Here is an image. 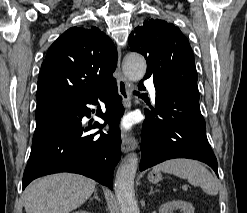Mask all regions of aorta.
Here are the masks:
<instances>
[{
    "instance_id": "obj_1",
    "label": "aorta",
    "mask_w": 247,
    "mask_h": 213,
    "mask_svg": "<svg viewBox=\"0 0 247 213\" xmlns=\"http://www.w3.org/2000/svg\"><path fill=\"white\" fill-rule=\"evenodd\" d=\"M147 65L143 56L128 53L123 64V73L131 81L141 80L146 73ZM138 167V157L131 154L118 168L114 190L121 213H140L134 198V178Z\"/></svg>"
}]
</instances>
